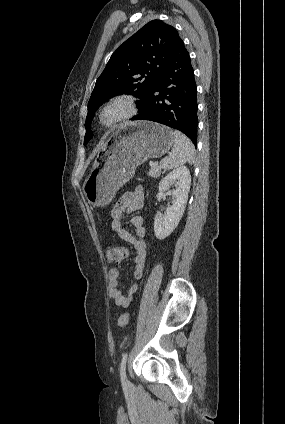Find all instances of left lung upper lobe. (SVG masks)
<instances>
[{"label": "left lung upper lobe", "instance_id": "obj_1", "mask_svg": "<svg viewBox=\"0 0 285 424\" xmlns=\"http://www.w3.org/2000/svg\"><path fill=\"white\" fill-rule=\"evenodd\" d=\"M180 39L173 26L152 20L112 54L88 102L84 145L92 137L90 126L94 112L104 101L124 93L139 97V105L146 99Z\"/></svg>", "mask_w": 285, "mask_h": 424}]
</instances>
